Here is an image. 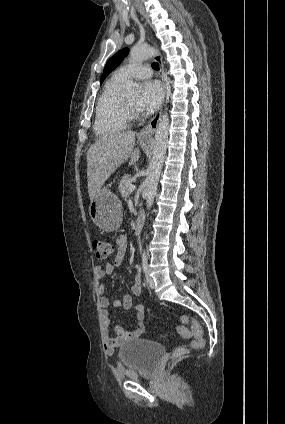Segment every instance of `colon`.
Returning a JSON list of instances; mask_svg holds the SVG:
<instances>
[{"label":"colon","mask_w":285,"mask_h":424,"mask_svg":"<svg viewBox=\"0 0 285 424\" xmlns=\"http://www.w3.org/2000/svg\"><path fill=\"white\" fill-rule=\"evenodd\" d=\"M93 249L95 252L96 257L99 260H105L106 258H108L112 252H113V247L110 243L104 241V240H100V239H96L93 241ZM183 321L184 322H190L191 324V332L194 336V339L191 343V346L195 349H199L202 348L204 346V339H203V329L201 327V325L195 321V320H190L187 317H183ZM176 332L181 335L182 337H189L190 332L183 328V327H178L176 329ZM188 349L185 347H179L175 350L174 352V357L175 358H180L183 357L187 354Z\"/></svg>","instance_id":"obj_1"}]
</instances>
